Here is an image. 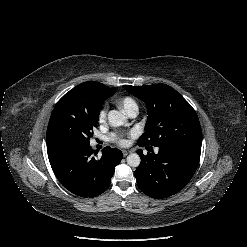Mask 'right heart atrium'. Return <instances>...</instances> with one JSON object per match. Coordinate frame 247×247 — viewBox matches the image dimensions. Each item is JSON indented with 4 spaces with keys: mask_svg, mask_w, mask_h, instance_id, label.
<instances>
[{
    "mask_svg": "<svg viewBox=\"0 0 247 247\" xmlns=\"http://www.w3.org/2000/svg\"><path fill=\"white\" fill-rule=\"evenodd\" d=\"M105 114H106L105 108L104 107H101L98 110V119L99 120H102L105 117Z\"/></svg>",
    "mask_w": 247,
    "mask_h": 247,
    "instance_id": "d8ad5b80",
    "label": "right heart atrium"
}]
</instances>
